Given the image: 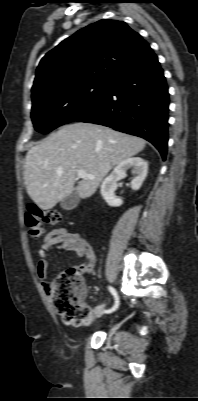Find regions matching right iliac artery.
Masks as SVG:
<instances>
[{
  "mask_svg": "<svg viewBox=\"0 0 198 401\" xmlns=\"http://www.w3.org/2000/svg\"><path fill=\"white\" fill-rule=\"evenodd\" d=\"M108 288H109V291L112 293V295L115 298V304L111 309L105 310V313H111V312L115 311L119 306V297L117 295L116 290L111 286H109Z\"/></svg>",
  "mask_w": 198,
  "mask_h": 401,
  "instance_id": "obj_1",
  "label": "right iliac artery"
}]
</instances>
